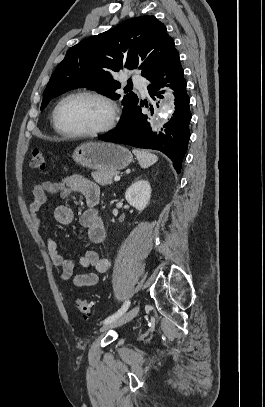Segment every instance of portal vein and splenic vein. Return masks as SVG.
I'll return each mask as SVG.
<instances>
[{"mask_svg": "<svg viewBox=\"0 0 265 407\" xmlns=\"http://www.w3.org/2000/svg\"><path fill=\"white\" fill-rule=\"evenodd\" d=\"M114 180H115V181H119V180H120V176H117V175H116V176L114 177Z\"/></svg>", "mask_w": 265, "mask_h": 407, "instance_id": "portal-vein-and-splenic-vein-1", "label": "portal vein and splenic vein"}]
</instances>
